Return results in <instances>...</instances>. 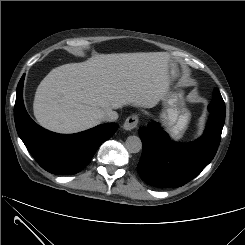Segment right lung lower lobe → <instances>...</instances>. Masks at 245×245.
<instances>
[{
    "mask_svg": "<svg viewBox=\"0 0 245 245\" xmlns=\"http://www.w3.org/2000/svg\"><path fill=\"white\" fill-rule=\"evenodd\" d=\"M23 81L17 87L14 118L19 137L38 164L46 171L68 175L80 172L89 164L99 146L117 130L108 123L76 134H58L36 124L23 103Z\"/></svg>",
    "mask_w": 245,
    "mask_h": 245,
    "instance_id": "98d812e1",
    "label": "right lung lower lobe"
}]
</instances>
